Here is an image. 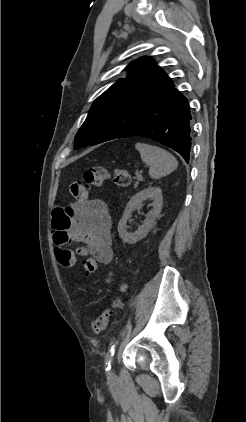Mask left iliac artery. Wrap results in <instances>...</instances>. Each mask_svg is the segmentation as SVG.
I'll use <instances>...</instances> for the list:
<instances>
[{"instance_id":"obj_1","label":"left iliac artery","mask_w":246,"mask_h":422,"mask_svg":"<svg viewBox=\"0 0 246 422\" xmlns=\"http://www.w3.org/2000/svg\"><path fill=\"white\" fill-rule=\"evenodd\" d=\"M117 342H115L111 348L108 350L106 357H105V368L106 371H109L111 369V361L112 358L114 356V352H115V347H116Z\"/></svg>"}]
</instances>
